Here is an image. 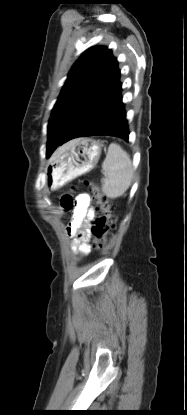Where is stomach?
I'll return each mask as SVG.
<instances>
[{
	"mask_svg": "<svg viewBox=\"0 0 187 415\" xmlns=\"http://www.w3.org/2000/svg\"><path fill=\"white\" fill-rule=\"evenodd\" d=\"M102 144L91 138L73 140L71 146L46 166V187L58 189L91 171L97 164Z\"/></svg>",
	"mask_w": 187,
	"mask_h": 415,
	"instance_id": "obj_1",
	"label": "stomach"
}]
</instances>
